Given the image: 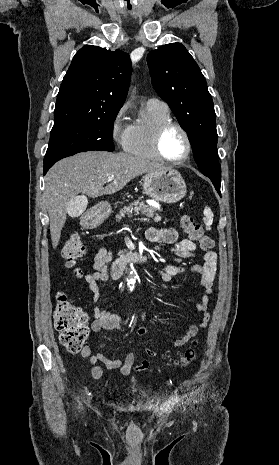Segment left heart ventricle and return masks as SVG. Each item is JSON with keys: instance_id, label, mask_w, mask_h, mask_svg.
Masks as SVG:
<instances>
[{"instance_id": "obj_1", "label": "left heart ventricle", "mask_w": 279, "mask_h": 465, "mask_svg": "<svg viewBox=\"0 0 279 465\" xmlns=\"http://www.w3.org/2000/svg\"><path fill=\"white\" fill-rule=\"evenodd\" d=\"M162 151L169 159H179L185 154L186 142L178 129L171 128L164 134Z\"/></svg>"}]
</instances>
